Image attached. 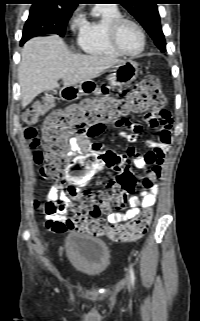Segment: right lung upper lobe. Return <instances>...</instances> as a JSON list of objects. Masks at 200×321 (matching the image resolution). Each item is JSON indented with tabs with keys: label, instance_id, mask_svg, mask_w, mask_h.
<instances>
[{
	"label": "right lung upper lobe",
	"instance_id": "1",
	"mask_svg": "<svg viewBox=\"0 0 200 321\" xmlns=\"http://www.w3.org/2000/svg\"><path fill=\"white\" fill-rule=\"evenodd\" d=\"M33 5H42L58 11H74L82 0H32Z\"/></svg>",
	"mask_w": 200,
	"mask_h": 321
}]
</instances>
